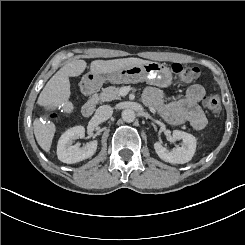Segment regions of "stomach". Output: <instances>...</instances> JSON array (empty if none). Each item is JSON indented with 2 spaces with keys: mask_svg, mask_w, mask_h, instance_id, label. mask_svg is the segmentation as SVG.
<instances>
[{
  "mask_svg": "<svg viewBox=\"0 0 245 245\" xmlns=\"http://www.w3.org/2000/svg\"><path fill=\"white\" fill-rule=\"evenodd\" d=\"M113 84H129L146 81L148 84L158 87H168L172 83V73L169 67L157 62H147L141 65H133L107 74L89 72L80 82L82 91L92 92L100 88L105 82Z\"/></svg>",
  "mask_w": 245,
  "mask_h": 245,
  "instance_id": "0dacf381",
  "label": "stomach"
}]
</instances>
